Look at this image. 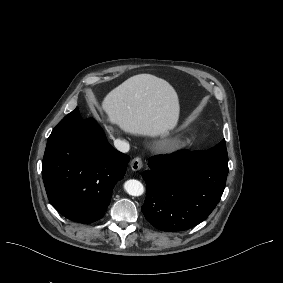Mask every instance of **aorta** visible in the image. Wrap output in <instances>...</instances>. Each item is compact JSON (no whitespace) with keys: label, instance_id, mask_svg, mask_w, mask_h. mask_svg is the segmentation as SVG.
Segmentation results:
<instances>
[{"label":"aorta","instance_id":"762f6f07","mask_svg":"<svg viewBox=\"0 0 283 283\" xmlns=\"http://www.w3.org/2000/svg\"><path fill=\"white\" fill-rule=\"evenodd\" d=\"M124 189L131 196H140L144 192L143 184L135 179L127 180L124 184Z\"/></svg>","mask_w":283,"mask_h":283}]
</instances>
